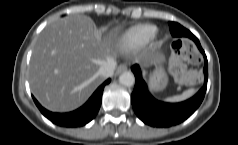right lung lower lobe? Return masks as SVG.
<instances>
[{"instance_id":"obj_1","label":"right lung lower lobe","mask_w":238,"mask_h":145,"mask_svg":"<svg viewBox=\"0 0 238 145\" xmlns=\"http://www.w3.org/2000/svg\"><path fill=\"white\" fill-rule=\"evenodd\" d=\"M109 82L110 79L106 80L82 107L69 113L50 112L43 108L34 97L33 100L41 113L52 123L62 127H80L90 122L98 113L101 106L103 89Z\"/></svg>"}]
</instances>
